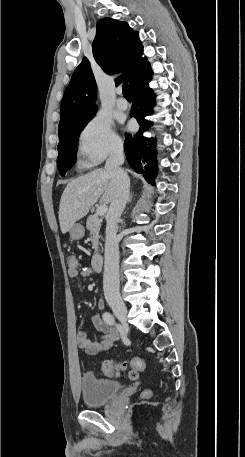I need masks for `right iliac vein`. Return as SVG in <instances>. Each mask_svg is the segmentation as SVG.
<instances>
[{
	"label": "right iliac vein",
	"mask_w": 245,
	"mask_h": 457,
	"mask_svg": "<svg viewBox=\"0 0 245 457\" xmlns=\"http://www.w3.org/2000/svg\"><path fill=\"white\" fill-rule=\"evenodd\" d=\"M108 304L113 310L115 316L123 323L127 320V307L119 297H109Z\"/></svg>",
	"instance_id": "1"
}]
</instances>
